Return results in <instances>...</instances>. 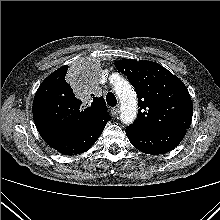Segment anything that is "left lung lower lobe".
<instances>
[{
	"label": "left lung lower lobe",
	"mask_w": 220,
	"mask_h": 220,
	"mask_svg": "<svg viewBox=\"0 0 220 220\" xmlns=\"http://www.w3.org/2000/svg\"><path fill=\"white\" fill-rule=\"evenodd\" d=\"M125 132L135 148L152 155L171 151L186 134V130H154L133 124Z\"/></svg>",
	"instance_id": "obj_1"
}]
</instances>
